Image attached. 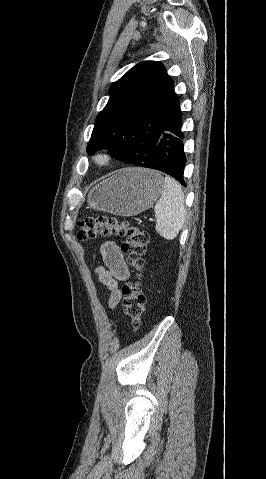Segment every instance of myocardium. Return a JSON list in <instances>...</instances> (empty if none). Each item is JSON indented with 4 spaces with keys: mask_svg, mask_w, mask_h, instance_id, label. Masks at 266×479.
<instances>
[{
    "mask_svg": "<svg viewBox=\"0 0 266 479\" xmlns=\"http://www.w3.org/2000/svg\"><path fill=\"white\" fill-rule=\"evenodd\" d=\"M111 158H112V154L110 150H108L107 148H102L97 150L93 154L92 161L95 165L99 167H105L109 165Z\"/></svg>",
    "mask_w": 266,
    "mask_h": 479,
    "instance_id": "f54148a6",
    "label": "myocardium"
}]
</instances>
